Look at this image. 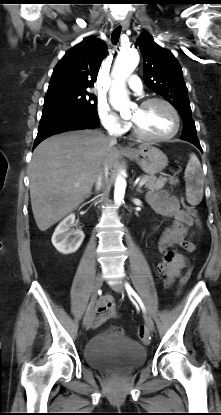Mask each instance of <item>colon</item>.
<instances>
[{"label": "colon", "mask_w": 221, "mask_h": 415, "mask_svg": "<svg viewBox=\"0 0 221 415\" xmlns=\"http://www.w3.org/2000/svg\"><path fill=\"white\" fill-rule=\"evenodd\" d=\"M180 184H181V179L179 177H176L175 173H172L170 183H169L170 188L171 189H178ZM185 200H186L185 196L180 197V202L182 203L181 207L185 208L187 213H189L192 217H194L195 220H196V223L199 225L200 220H199L198 212H197L196 208L192 205L184 203ZM189 276H190V270H188L185 273V275L181 278V280H180V290L186 284V282L188 281ZM180 290L178 291V293H180ZM122 334H123V330L121 328H113L112 329V335L121 336ZM138 336L142 341H148L149 340V333H148L147 328L145 326H140L139 327Z\"/></svg>", "instance_id": "5ec220e1"}]
</instances>
